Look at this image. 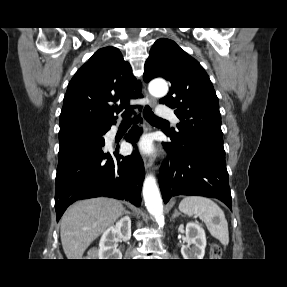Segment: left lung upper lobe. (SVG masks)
Wrapping results in <instances>:
<instances>
[{
    "label": "left lung upper lobe",
    "instance_id": "1",
    "mask_svg": "<svg viewBox=\"0 0 287 287\" xmlns=\"http://www.w3.org/2000/svg\"><path fill=\"white\" fill-rule=\"evenodd\" d=\"M163 77L171 84L160 103L175 109L178 132H166L175 143H190L225 156L219 101L200 63L174 41L157 40L145 63L144 81Z\"/></svg>",
    "mask_w": 287,
    "mask_h": 287
}]
</instances>
